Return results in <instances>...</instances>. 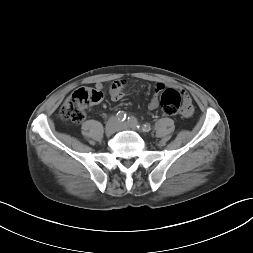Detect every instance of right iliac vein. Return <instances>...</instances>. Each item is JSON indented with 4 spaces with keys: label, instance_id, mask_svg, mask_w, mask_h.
<instances>
[{
    "label": "right iliac vein",
    "instance_id": "right-iliac-vein-1",
    "mask_svg": "<svg viewBox=\"0 0 253 253\" xmlns=\"http://www.w3.org/2000/svg\"><path fill=\"white\" fill-rule=\"evenodd\" d=\"M118 128H119V123H118L117 119L112 117L107 121V123L105 125V133L107 135H112L118 131Z\"/></svg>",
    "mask_w": 253,
    "mask_h": 253
}]
</instances>
